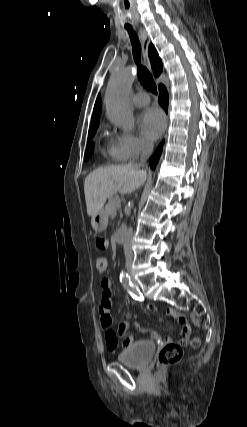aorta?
Returning a JSON list of instances; mask_svg holds the SVG:
<instances>
[{"label": "aorta", "instance_id": "762f6f07", "mask_svg": "<svg viewBox=\"0 0 247 427\" xmlns=\"http://www.w3.org/2000/svg\"><path fill=\"white\" fill-rule=\"evenodd\" d=\"M135 79L132 67H118L111 76L105 94L106 114L111 122L125 132L134 128V117L128 106V97Z\"/></svg>", "mask_w": 247, "mask_h": 427}]
</instances>
